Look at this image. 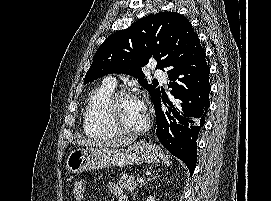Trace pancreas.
<instances>
[{
	"instance_id": "1",
	"label": "pancreas",
	"mask_w": 271,
	"mask_h": 201,
	"mask_svg": "<svg viewBox=\"0 0 271 201\" xmlns=\"http://www.w3.org/2000/svg\"><path fill=\"white\" fill-rule=\"evenodd\" d=\"M118 184L121 189L127 190V191H133L137 187L138 183L134 180V177H127L123 175L120 180L118 181Z\"/></svg>"
}]
</instances>
